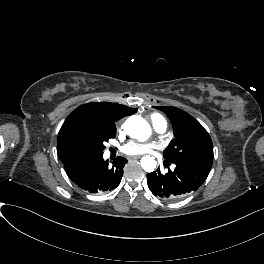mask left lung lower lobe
Here are the masks:
<instances>
[{
	"instance_id": "0a47b994",
	"label": "left lung lower lobe",
	"mask_w": 264,
	"mask_h": 264,
	"mask_svg": "<svg viewBox=\"0 0 264 264\" xmlns=\"http://www.w3.org/2000/svg\"><path fill=\"white\" fill-rule=\"evenodd\" d=\"M147 184L152 193L160 197H175L185 194V192L166 183L153 173H147Z\"/></svg>"
}]
</instances>
